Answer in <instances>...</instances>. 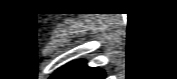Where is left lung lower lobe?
I'll return each mask as SVG.
<instances>
[{
    "label": "left lung lower lobe",
    "instance_id": "left-lung-lower-lobe-1",
    "mask_svg": "<svg viewBox=\"0 0 177 79\" xmlns=\"http://www.w3.org/2000/svg\"><path fill=\"white\" fill-rule=\"evenodd\" d=\"M104 72L97 68H89L83 61H76L55 72L51 79H103Z\"/></svg>",
    "mask_w": 177,
    "mask_h": 79
}]
</instances>
